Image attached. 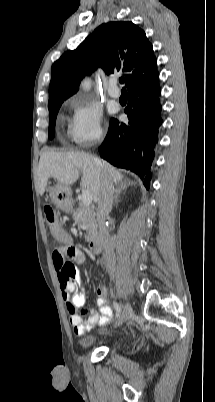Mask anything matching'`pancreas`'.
Wrapping results in <instances>:
<instances>
[{"instance_id":"cf45deb5","label":"pancreas","mask_w":215,"mask_h":402,"mask_svg":"<svg viewBox=\"0 0 215 402\" xmlns=\"http://www.w3.org/2000/svg\"><path fill=\"white\" fill-rule=\"evenodd\" d=\"M73 219L76 224L86 230L87 234L85 240L92 241L97 236V222L92 209L80 205L73 212Z\"/></svg>"}]
</instances>
